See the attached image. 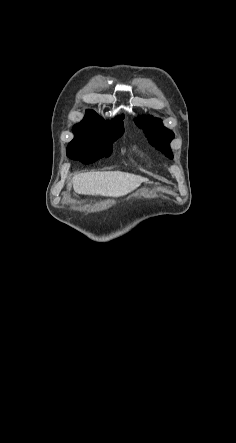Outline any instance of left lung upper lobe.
<instances>
[{
    "mask_svg": "<svg viewBox=\"0 0 236 443\" xmlns=\"http://www.w3.org/2000/svg\"><path fill=\"white\" fill-rule=\"evenodd\" d=\"M139 128L149 137L150 142L167 157L173 158L170 149V142L174 138V133L165 128L161 121L156 118H141L136 120Z\"/></svg>",
    "mask_w": 236,
    "mask_h": 443,
    "instance_id": "obj_1",
    "label": "left lung upper lobe"
}]
</instances>
